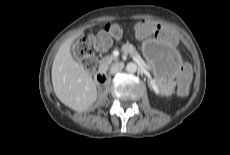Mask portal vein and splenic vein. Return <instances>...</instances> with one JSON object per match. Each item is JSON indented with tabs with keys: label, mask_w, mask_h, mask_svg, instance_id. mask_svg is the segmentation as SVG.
Masks as SVG:
<instances>
[{
	"label": "portal vein and splenic vein",
	"mask_w": 230,
	"mask_h": 155,
	"mask_svg": "<svg viewBox=\"0 0 230 155\" xmlns=\"http://www.w3.org/2000/svg\"><path fill=\"white\" fill-rule=\"evenodd\" d=\"M135 58V57H134ZM135 60H137V58L135 59ZM139 60V59H138ZM153 86L157 89V86L155 85V84H153ZM157 91H158V89H157Z\"/></svg>",
	"instance_id": "obj_1"
}]
</instances>
